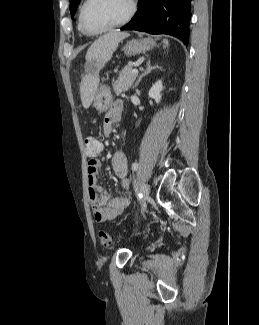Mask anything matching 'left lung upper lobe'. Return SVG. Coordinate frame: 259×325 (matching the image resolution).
Wrapping results in <instances>:
<instances>
[{
    "instance_id": "1",
    "label": "left lung upper lobe",
    "mask_w": 259,
    "mask_h": 325,
    "mask_svg": "<svg viewBox=\"0 0 259 325\" xmlns=\"http://www.w3.org/2000/svg\"><path fill=\"white\" fill-rule=\"evenodd\" d=\"M69 1H70L71 17H73L80 0H69Z\"/></svg>"
}]
</instances>
